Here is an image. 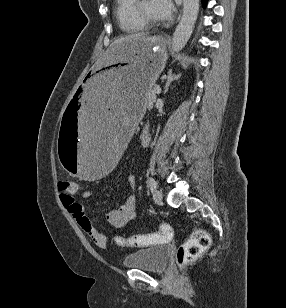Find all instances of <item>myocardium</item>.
<instances>
[{
	"mask_svg": "<svg viewBox=\"0 0 286 308\" xmlns=\"http://www.w3.org/2000/svg\"><path fill=\"white\" fill-rule=\"evenodd\" d=\"M144 0H138V2L134 6V13L137 17V19L147 28L155 27L159 25V21H153L146 17L142 12H141V3Z\"/></svg>",
	"mask_w": 286,
	"mask_h": 308,
	"instance_id": "f54148a6",
	"label": "myocardium"
}]
</instances>
